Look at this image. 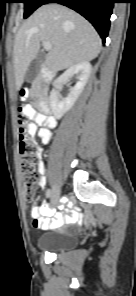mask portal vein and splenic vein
I'll return each instance as SVG.
<instances>
[{
	"label": "portal vein and splenic vein",
	"instance_id": "1",
	"mask_svg": "<svg viewBox=\"0 0 136 296\" xmlns=\"http://www.w3.org/2000/svg\"><path fill=\"white\" fill-rule=\"evenodd\" d=\"M42 45H43L44 49H46V50L52 49V45L47 41H43Z\"/></svg>",
	"mask_w": 136,
	"mask_h": 296
}]
</instances>
